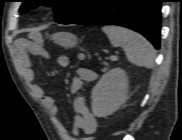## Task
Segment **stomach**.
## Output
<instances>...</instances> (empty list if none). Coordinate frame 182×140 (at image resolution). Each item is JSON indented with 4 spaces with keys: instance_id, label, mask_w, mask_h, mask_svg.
I'll return each mask as SVG.
<instances>
[{
    "instance_id": "obj_1",
    "label": "stomach",
    "mask_w": 182,
    "mask_h": 140,
    "mask_svg": "<svg viewBox=\"0 0 182 140\" xmlns=\"http://www.w3.org/2000/svg\"><path fill=\"white\" fill-rule=\"evenodd\" d=\"M51 39L58 45L65 48H73L77 45V37L68 32H58L51 36Z\"/></svg>"
}]
</instances>
